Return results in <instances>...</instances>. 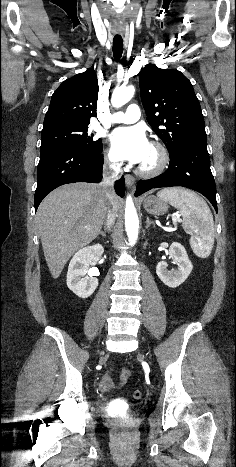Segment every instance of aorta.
I'll return each instance as SVG.
<instances>
[{
  "instance_id": "aorta-1",
  "label": "aorta",
  "mask_w": 236,
  "mask_h": 467,
  "mask_svg": "<svg viewBox=\"0 0 236 467\" xmlns=\"http://www.w3.org/2000/svg\"><path fill=\"white\" fill-rule=\"evenodd\" d=\"M135 93L133 85L120 87L113 91L111 104L113 107L119 108L130 101ZM125 228L130 245H134L138 238L139 219L132 197L126 198L125 204Z\"/></svg>"
}]
</instances>
